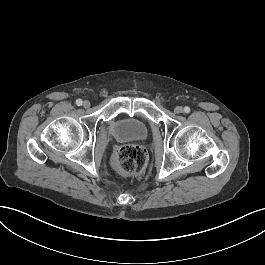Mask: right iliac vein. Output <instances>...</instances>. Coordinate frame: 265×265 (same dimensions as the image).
Segmentation results:
<instances>
[{
  "mask_svg": "<svg viewBox=\"0 0 265 265\" xmlns=\"http://www.w3.org/2000/svg\"><path fill=\"white\" fill-rule=\"evenodd\" d=\"M83 106L85 107V108H87V107H89L90 106V102L89 101H84L83 102Z\"/></svg>",
  "mask_w": 265,
  "mask_h": 265,
  "instance_id": "obj_1",
  "label": "right iliac vein"
}]
</instances>
